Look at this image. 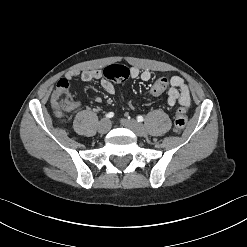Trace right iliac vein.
Wrapping results in <instances>:
<instances>
[{
  "mask_svg": "<svg viewBox=\"0 0 247 247\" xmlns=\"http://www.w3.org/2000/svg\"><path fill=\"white\" fill-rule=\"evenodd\" d=\"M111 128V122L104 118L98 124V132L100 134H106Z\"/></svg>",
  "mask_w": 247,
  "mask_h": 247,
  "instance_id": "1",
  "label": "right iliac vein"
}]
</instances>
